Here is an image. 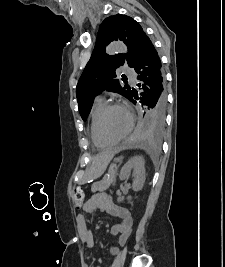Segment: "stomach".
Returning a JSON list of instances; mask_svg holds the SVG:
<instances>
[{
	"label": "stomach",
	"instance_id": "0dacf381",
	"mask_svg": "<svg viewBox=\"0 0 225 267\" xmlns=\"http://www.w3.org/2000/svg\"><path fill=\"white\" fill-rule=\"evenodd\" d=\"M112 154L105 153L98 157L97 160H95L94 165L92 167V173L90 178H97L99 177L106 169L109 161L112 158Z\"/></svg>",
	"mask_w": 225,
	"mask_h": 267
}]
</instances>
